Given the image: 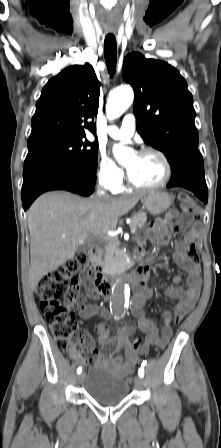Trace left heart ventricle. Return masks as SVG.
<instances>
[{"mask_svg":"<svg viewBox=\"0 0 221 448\" xmlns=\"http://www.w3.org/2000/svg\"><path fill=\"white\" fill-rule=\"evenodd\" d=\"M131 177L138 183L153 185L165 175V168L159 157L153 154L135 155L127 163Z\"/></svg>","mask_w":221,"mask_h":448,"instance_id":"b2bd125f","label":"left heart ventricle"}]
</instances>
